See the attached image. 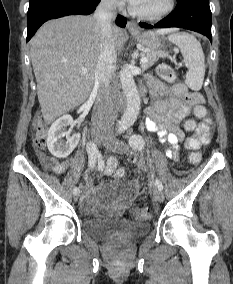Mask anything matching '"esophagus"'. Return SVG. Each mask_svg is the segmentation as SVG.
Returning a JSON list of instances; mask_svg holds the SVG:
<instances>
[{
  "label": "esophagus",
  "instance_id": "obj_1",
  "mask_svg": "<svg viewBox=\"0 0 233 284\" xmlns=\"http://www.w3.org/2000/svg\"><path fill=\"white\" fill-rule=\"evenodd\" d=\"M127 29L129 32H138V25L133 21H128Z\"/></svg>",
  "mask_w": 233,
  "mask_h": 284
}]
</instances>
